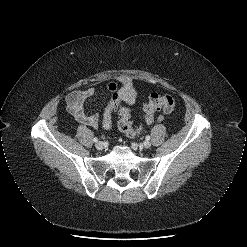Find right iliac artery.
I'll use <instances>...</instances> for the list:
<instances>
[{"label":"right iliac artery","instance_id":"obj_1","mask_svg":"<svg viewBox=\"0 0 247 247\" xmlns=\"http://www.w3.org/2000/svg\"><path fill=\"white\" fill-rule=\"evenodd\" d=\"M93 141L94 142H98V139L95 137V138H93Z\"/></svg>","mask_w":247,"mask_h":247}]
</instances>
